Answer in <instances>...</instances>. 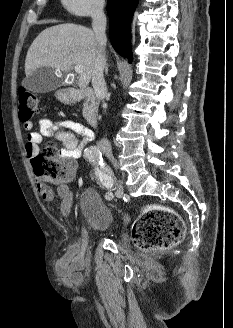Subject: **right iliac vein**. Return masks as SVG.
<instances>
[{
	"label": "right iliac vein",
	"mask_w": 233,
	"mask_h": 328,
	"mask_svg": "<svg viewBox=\"0 0 233 328\" xmlns=\"http://www.w3.org/2000/svg\"><path fill=\"white\" fill-rule=\"evenodd\" d=\"M101 151L102 153L112 162V164L114 165V167L117 169L118 168V164L117 161L115 160L113 154H112V150L110 147L104 146L101 147ZM114 186L116 189V196L117 197H121L123 195V184L121 180H115L114 182Z\"/></svg>",
	"instance_id": "obj_1"
}]
</instances>
